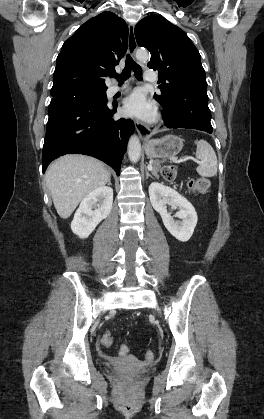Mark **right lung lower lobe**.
Listing matches in <instances>:
<instances>
[{
    "label": "right lung lower lobe",
    "instance_id": "right-lung-lower-lobe-1",
    "mask_svg": "<svg viewBox=\"0 0 264 419\" xmlns=\"http://www.w3.org/2000/svg\"><path fill=\"white\" fill-rule=\"evenodd\" d=\"M117 105L87 99L55 101L49 105L44 147L43 173L49 163L65 154H85L98 158L120 174L123 155L134 122L114 120Z\"/></svg>",
    "mask_w": 264,
    "mask_h": 419
}]
</instances>
